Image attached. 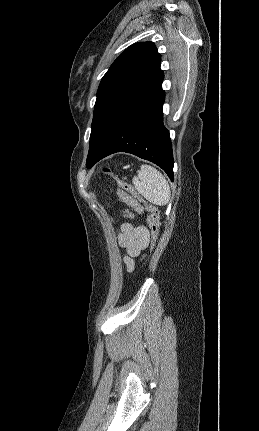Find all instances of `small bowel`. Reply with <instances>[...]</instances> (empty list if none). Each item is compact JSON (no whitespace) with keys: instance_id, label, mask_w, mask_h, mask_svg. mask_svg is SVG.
Segmentation results:
<instances>
[{"instance_id":"c3829d8e","label":"small bowel","mask_w":259,"mask_h":431,"mask_svg":"<svg viewBox=\"0 0 259 431\" xmlns=\"http://www.w3.org/2000/svg\"><path fill=\"white\" fill-rule=\"evenodd\" d=\"M133 208V207H132ZM149 232L143 227H134L129 223H123L120 227L118 241L126 249L124 263L127 272L131 273L135 268V259L149 244Z\"/></svg>"}]
</instances>
